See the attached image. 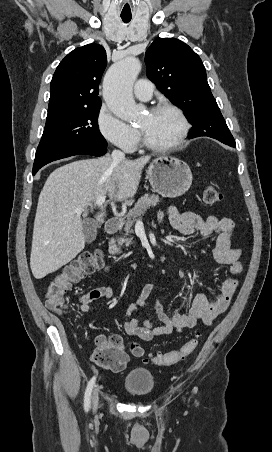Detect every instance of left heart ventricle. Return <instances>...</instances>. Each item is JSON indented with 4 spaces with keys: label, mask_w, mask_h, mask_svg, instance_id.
Masks as SVG:
<instances>
[{
    "label": "left heart ventricle",
    "mask_w": 272,
    "mask_h": 452,
    "mask_svg": "<svg viewBox=\"0 0 272 452\" xmlns=\"http://www.w3.org/2000/svg\"><path fill=\"white\" fill-rule=\"evenodd\" d=\"M146 139L153 144H166L175 139L180 124L177 117L168 112L161 111L155 114L148 113L138 123Z\"/></svg>",
    "instance_id": "obj_1"
}]
</instances>
